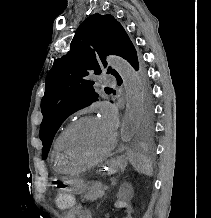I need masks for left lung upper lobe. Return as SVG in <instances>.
Segmentation results:
<instances>
[{"label":"left lung upper lobe","instance_id":"left-lung-upper-lobe-1","mask_svg":"<svg viewBox=\"0 0 211 218\" xmlns=\"http://www.w3.org/2000/svg\"><path fill=\"white\" fill-rule=\"evenodd\" d=\"M118 55L127 60L135 70L139 69L141 56L123 26L110 14H93L78 27L70 44V51L56 59L45 81V94L41 102L43 121L39 137L43 143L44 159L52 144L55 133L65 119L78 109L96 101L98 94L93 88V75L101 74L107 67L106 56ZM121 85L122 79L116 70L108 68ZM145 80V71H141ZM110 88L105 92L110 94ZM145 101L141 109L144 125L149 128L152 117L150 91L144 85Z\"/></svg>","mask_w":211,"mask_h":218}]
</instances>
